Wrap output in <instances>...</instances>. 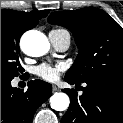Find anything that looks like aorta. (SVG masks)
I'll use <instances>...</instances> for the list:
<instances>
[{"mask_svg": "<svg viewBox=\"0 0 123 123\" xmlns=\"http://www.w3.org/2000/svg\"><path fill=\"white\" fill-rule=\"evenodd\" d=\"M47 37L39 31H28L21 39L23 52L32 57H39L46 54L49 50ZM70 104V99L65 93H55L50 98L51 108L56 111H65Z\"/></svg>", "mask_w": 123, "mask_h": 123, "instance_id": "762f6f07", "label": "aorta"}]
</instances>
